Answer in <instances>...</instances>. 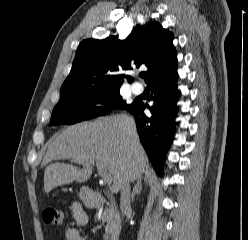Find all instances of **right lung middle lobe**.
Instances as JSON below:
<instances>
[{"mask_svg":"<svg viewBox=\"0 0 248 240\" xmlns=\"http://www.w3.org/2000/svg\"><path fill=\"white\" fill-rule=\"evenodd\" d=\"M121 99L119 89L84 88L62 90L60 100L53 109L50 124H74L108 113V109L98 105L115 103L124 109L130 105L126 104L125 101H121Z\"/></svg>","mask_w":248,"mask_h":240,"instance_id":"1","label":"right lung middle lobe"}]
</instances>
